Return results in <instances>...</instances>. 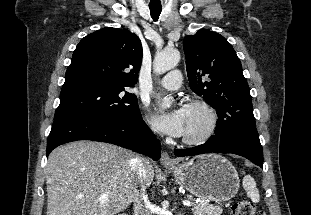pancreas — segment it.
I'll return each instance as SVG.
<instances>
[{
    "instance_id": "cf45deb5",
    "label": "pancreas",
    "mask_w": 311,
    "mask_h": 215,
    "mask_svg": "<svg viewBox=\"0 0 311 215\" xmlns=\"http://www.w3.org/2000/svg\"><path fill=\"white\" fill-rule=\"evenodd\" d=\"M189 200H193L191 195H187ZM194 215H221L223 209L220 206H213L207 202H198L194 204L192 208Z\"/></svg>"
}]
</instances>
